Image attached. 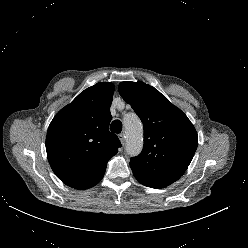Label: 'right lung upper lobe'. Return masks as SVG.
I'll return each mask as SVG.
<instances>
[{
  "mask_svg": "<svg viewBox=\"0 0 248 248\" xmlns=\"http://www.w3.org/2000/svg\"><path fill=\"white\" fill-rule=\"evenodd\" d=\"M112 83H97L81 92L51 121L46 136L49 163L66 185L88 189L104 176L108 160L121 143L109 131Z\"/></svg>",
  "mask_w": 248,
  "mask_h": 248,
  "instance_id": "cb5924a9",
  "label": "right lung upper lobe"
}]
</instances>
